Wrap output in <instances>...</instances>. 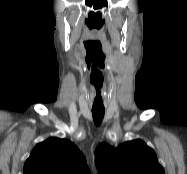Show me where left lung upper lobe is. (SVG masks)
Masks as SVG:
<instances>
[{
    "label": "left lung upper lobe",
    "instance_id": "1",
    "mask_svg": "<svg viewBox=\"0 0 187 174\" xmlns=\"http://www.w3.org/2000/svg\"><path fill=\"white\" fill-rule=\"evenodd\" d=\"M98 174H165L153 149L142 140H133L117 148L103 143L95 152Z\"/></svg>",
    "mask_w": 187,
    "mask_h": 174
}]
</instances>
